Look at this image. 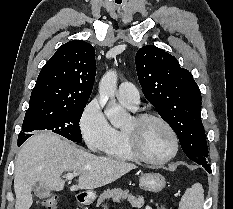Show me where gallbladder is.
I'll return each instance as SVG.
<instances>
[{"mask_svg": "<svg viewBox=\"0 0 233 209\" xmlns=\"http://www.w3.org/2000/svg\"><path fill=\"white\" fill-rule=\"evenodd\" d=\"M32 190L34 195L38 198H46L50 195V189L41 183H36Z\"/></svg>", "mask_w": 233, "mask_h": 209, "instance_id": "gallbladder-1", "label": "gallbladder"}]
</instances>
